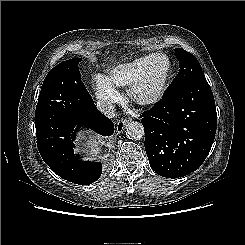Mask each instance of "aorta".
Here are the masks:
<instances>
[{
  "mask_svg": "<svg viewBox=\"0 0 245 245\" xmlns=\"http://www.w3.org/2000/svg\"><path fill=\"white\" fill-rule=\"evenodd\" d=\"M125 132L129 139L137 140L144 136V127L140 122L131 121L126 125Z\"/></svg>",
  "mask_w": 245,
  "mask_h": 245,
  "instance_id": "1",
  "label": "aorta"
}]
</instances>
